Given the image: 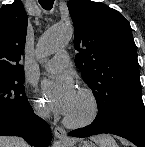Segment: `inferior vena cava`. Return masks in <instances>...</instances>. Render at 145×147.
I'll use <instances>...</instances> for the list:
<instances>
[{"label": "inferior vena cava", "instance_id": "1", "mask_svg": "<svg viewBox=\"0 0 145 147\" xmlns=\"http://www.w3.org/2000/svg\"><path fill=\"white\" fill-rule=\"evenodd\" d=\"M40 115H41L42 117H45V116H46V113H45V112H41Z\"/></svg>", "mask_w": 145, "mask_h": 147}]
</instances>
